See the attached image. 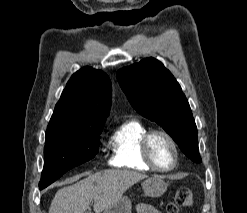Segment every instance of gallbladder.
<instances>
[{
    "mask_svg": "<svg viewBox=\"0 0 247 213\" xmlns=\"http://www.w3.org/2000/svg\"><path fill=\"white\" fill-rule=\"evenodd\" d=\"M85 213H91L89 210H87Z\"/></svg>",
    "mask_w": 247,
    "mask_h": 213,
    "instance_id": "obj_1",
    "label": "gallbladder"
}]
</instances>
